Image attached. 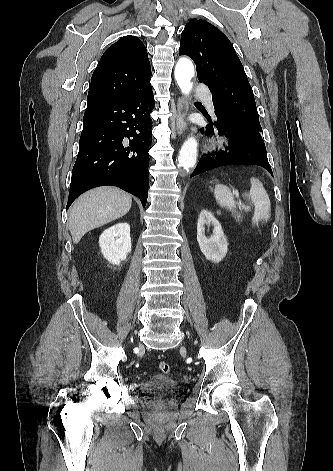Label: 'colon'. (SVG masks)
Instances as JSON below:
<instances>
[{"label": "colon", "mask_w": 333, "mask_h": 471, "mask_svg": "<svg viewBox=\"0 0 333 471\" xmlns=\"http://www.w3.org/2000/svg\"><path fill=\"white\" fill-rule=\"evenodd\" d=\"M158 368L164 374H168L170 372V365L166 361H160L158 364Z\"/></svg>", "instance_id": "colon-1"}]
</instances>
